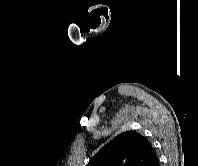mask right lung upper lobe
I'll list each match as a JSON object with an SVG mask.
<instances>
[{"label":"right lung upper lobe","instance_id":"right-lung-upper-lobe-1","mask_svg":"<svg viewBox=\"0 0 198 166\" xmlns=\"http://www.w3.org/2000/svg\"><path fill=\"white\" fill-rule=\"evenodd\" d=\"M155 159V150L145 137L126 131L103 146L87 166H150Z\"/></svg>","mask_w":198,"mask_h":166}]
</instances>
